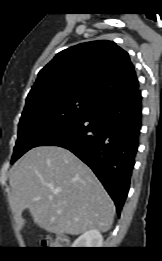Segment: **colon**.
Masks as SVG:
<instances>
[{"label": "colon", "instance_id": "colon-1", "mask_svg": "<svg viewBox=\"0 0 162 261\" xmlns=\"http://www.w3.org/2000/svg\"><path fill=\"white\" fill-rule=\"evenodd\" d=\"M43 246L52 249H61L66 246V242H63L58 238H48L44 241Z\"/></svg>", "mask_w": 162, "mask_h": 261}]
</instances>
